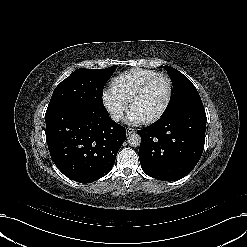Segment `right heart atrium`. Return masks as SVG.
<instances>
[{
	"label": "right heart atrium",
	"instance_id": "1",
	"mask_svg": "<svg viewBox=\"0 0 247 247\" xmlns=\"http://www.w3.org/2000/svg\"><path fill=\"white\" fill-rule=\"evenodd\" d=\"M103 101L106 106V108L109 110L111 115L116 118L120 119L125 110L126 106L123 101H121L114 93L113 91H108L103 96Z\"/></svg>",
	"mask_w": 247,
	"mask_h": 247
}]
</instances>
